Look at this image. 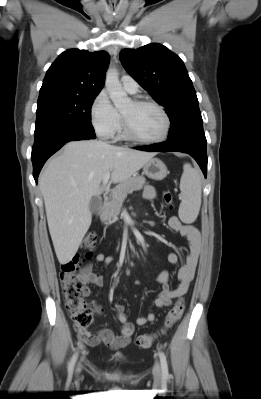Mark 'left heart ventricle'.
I'll return each instance as SVG.
<instances>
[{
    "instance_id": "b2bd125f",
    "label": "left heart ventricle",
    "mask_w": 261,
    "mask_h": 399,
    "mask_svg": "<svg viewBox=\"0 0 261 399\" xmlns=\"http://www.w3.org/2000/svg\"><path fill=\"white\" fill-rule=\"evenodd\" d=\"M122 114L127 118L132 130L142 138L155 139L164 132V118L159 110L152 106H140L132 101L122 110Z\"/></svg>"
}]
</instances>
